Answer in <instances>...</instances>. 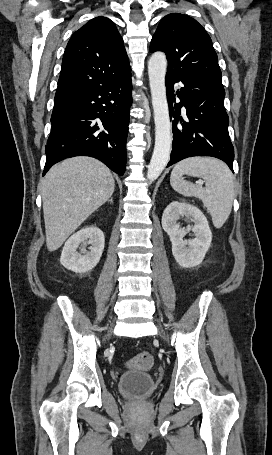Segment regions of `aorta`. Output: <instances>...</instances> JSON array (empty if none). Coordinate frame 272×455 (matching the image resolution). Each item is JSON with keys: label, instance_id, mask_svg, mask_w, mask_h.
Listing matches in <instances>:
<instances>
[{"label": "aorta", "instance_id": "obj_1", "mask_svg": "<svg viewBox=\"0 0 272 455\" xmlns=\"http://www.w3.org/2000/svg\"><path fill=\"white\" fill-rule=\"evenodd\" d=\"M166 71V55L163 52L153 53L148 62V76L155 122V146L147 171L149 181L160 176L170 159L172 135L165 86Z\"/></svg>", "mask_w": 272, "mask_h": 455}]
</instances>
